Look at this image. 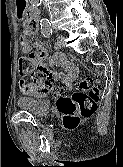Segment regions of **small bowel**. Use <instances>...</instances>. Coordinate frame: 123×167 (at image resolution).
<instances>
[{
    "instance_id": "1",
    "label": "small bowel",
    "mask_w": 123,
    "mask_h": 167,
    "mask_svg": "<svg viewBox=\"0 0 123 167\" xmlns=\"http://www.w3.org/2000/svg\"><path fill=\"white\" fill-rule=\"evenodd\" d=\"M15 3H17V9H18V10H15V14H17V17H19L20 19H23L24 17L27 16V13H25V10L27 9L28 1L27 0H15ZM19 23L23 24L24 20H19ZM36 30H37V22L30 15L29 24L26 26L25 33L20 36V45H21L22 51L25 54H28L32 67L43 68L49 72V70L47 69L45 65V62L48 59L47 51L41 46L38 47L37 51H34V47L30 43L29 38H28V35L31 33H34ZM57 55L58 54L54 55L50 59L51 64L53 65L62 64V62L57 61L56 59ZM28 72L29 71L22 73V74H26ZM74 75H75V68L70 65L64 66L63 72L59 74L60 78L63 79L64 81H70L74 77ZM19 89H20V92L23 94L32 95V96L41 95V92L38 89V87L34 85L33 83L27 82L24 78H22L19 81Z\"/></svg>"
}]
</instances>
